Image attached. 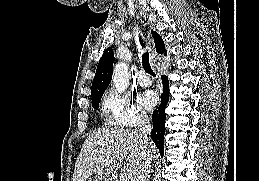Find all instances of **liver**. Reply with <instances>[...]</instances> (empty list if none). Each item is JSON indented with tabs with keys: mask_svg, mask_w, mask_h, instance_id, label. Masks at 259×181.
Instances as JSON below:
<instances>
[{
	"mask_svg": "<svg viewBox=\"0 0 259 181\" xmlns=\"http://www.w3.org/2000/svg\"><path fill=\"white\" fill-rule=\"evenodd\" d=\"M152 159L156 148L151 142ZM126 160V162H124ZM143 161V143L138 130L104 128L89 134L75 163L73 181H86L92 174L110 177L118 169L130 181L136 177Z\"/></svg>",
	"mask_w": 259,
	"mask_h": 181,
	"instance_id": "6515ba94",
	"label": "liver"
}]
</instances>
